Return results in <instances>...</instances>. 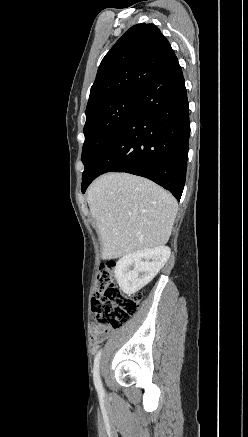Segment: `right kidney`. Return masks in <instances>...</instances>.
<instances>
[{
  "mask_svg": "<svg viewBox=\"0 0 248 437\" xmlns=\"http://www.w3.org/2000/svg\"><path fill=\"white\" fill-rule=\"evenodd\" d=\"M170 254L169 247L159 246L136 251L120 258L114 269L120 289L128 295L138 292L153 280Z\"/></svg>",
  "mask_w": 248,
  "mask_h": 437,
  "instance_id": "1",
  "label": "right kidney"
}]
</instances>
